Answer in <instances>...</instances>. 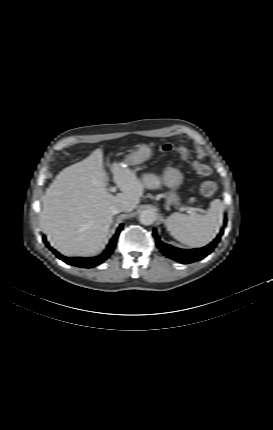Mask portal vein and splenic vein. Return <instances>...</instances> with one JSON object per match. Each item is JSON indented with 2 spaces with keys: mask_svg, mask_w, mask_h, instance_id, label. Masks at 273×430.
I'll return each mask as SVG.
<instances>
[{
  "mask_svg": "<svg viewBox=\"0 0 273 430\" xmlns=\"http://www.w3.org/2000/svg\"><path fill=\"white\" fill-rule=\"evenodd\" d=\"M111 192H115L116 191V188L115 187H111L110 189H109ZM187 210H188V212L189 213H194V212H196V211H199V212H202L203 210L202 209H200V208H193V207H187Z\"/></svg>",
  "mask_w": 273,
  "mask_h": 430,
  "instance_id": "portal-vein-and-splenic-vein-1",
  "label": "portal vein and splenic vein"
}]
</instances>
